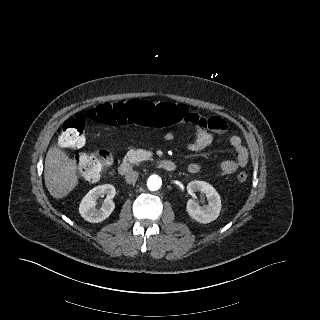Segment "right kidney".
Masks as SVG:
<instances>
[{"label": "right kidney", "mask_w": 320, "mask_h": 320, "mask_svg": "<svg viewBox=\"0 0 320 320\" xmlns=\"http://www.w3.org/2000/svg\"><path fill=\"white\" fill-rule=\"evenodd\" d=\"M115 194L116 190L113 185L104 184L96 186L82 199L79 206V213L86 221L91 223L104 221L110 216L115 208V204L112 201ZM102 195H106V199L101 208H97V199Z\"/></svg>", "instance_id": "obj_1"}]
</instances>
